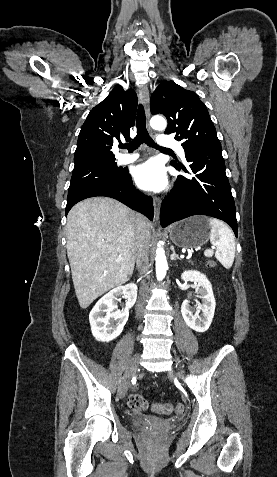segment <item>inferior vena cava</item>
I'll list each match as a JSON object with an SVG mask.
<instances>
[{
    "label": "inferior vena cava",
    "mask_w": 277,
    "mask_h": 477,
    "mask_svg": "<svg viewBox=\"0 0 277 477\" xmlns=\"http://www.w3.org/2000/svg\"><path fill=\"white\" fill-rule=\"evenodd\" d=\"M149 230L147 220L141 214H137L136 218V264L139 273L142 275L148 271L149 260H148V251H149ZM147 285L142 281L140 288V298L137 304V316L140 315L144 308L145 300L147 297Z\"/></svg>",
    "instance_id": "obj_1"
}]
</instances>
